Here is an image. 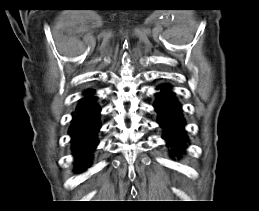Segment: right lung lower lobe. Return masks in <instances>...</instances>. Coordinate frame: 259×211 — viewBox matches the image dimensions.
<instances>
[{
  "label": "right lung lower lobe",
  "mask_w": 259,
  "mask_h": 211,
  "mask_svg": "<svg viewBox=\"0 0 259 211\" xmlns=\"http://www.w3.org/2000/svg\"><path fill=\"white\" fill-rule=\"evenodd\" d=\"M92 95L93 91L88 90L87 96L81 99L69 131L78 169H84L90 165L92 152L98 144L96 133L100 128L98 120L100 108Z\"/></svg>",
  "instance_id": "98d812e1"
}]
</instances>
